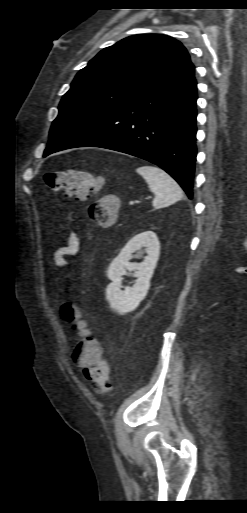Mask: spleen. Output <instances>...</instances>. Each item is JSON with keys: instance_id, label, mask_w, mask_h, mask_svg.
Instances as JSON below:
<instances>
[{"instance_id": "1", "label": "spleen", "mask_w": 247, "mask_h": 513, "mask_svg": "<svg viewBox=\"0 0 247 513\" xmlns=\"http://www.w3.org/2000/svg\"><path fill=\"white\" fill-rule=\"evenodd\" d=\"M147 182L149 189L154 193L152 205L154 209H160L183 198V192L177 182L164 170L151 166L143 165L136 169Z\"/></svg>"}]
</instances>
